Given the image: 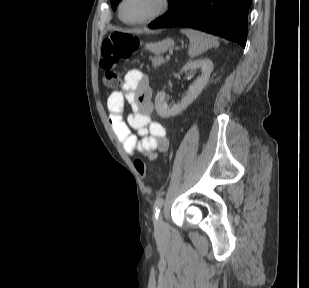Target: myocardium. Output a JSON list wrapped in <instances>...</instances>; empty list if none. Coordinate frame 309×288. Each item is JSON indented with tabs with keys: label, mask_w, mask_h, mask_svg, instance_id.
Masks as SVG:
<instances>
[{
	"label": "myocardium",
	"mask_w": 309,
	"mask_h": 288,
	"mask_svg": "<svg viewBox=\"0 0 309 288\" xmlns=\"http://www.w3.org/2000/svg\"><path fill=\"white\" fill-rule=\"evenodd\" d=\"M126 1L127 0H121L119 8H118V15L123 23L130 25V26L145 25V24L151 23L159 19L160 17L164 16L170 10L171 2H172L171 0H158V7L152 14H150L149 16L141 20L128 21L123 16V8H124Z\"/></svg>",
	"instance_id": "f54148a6"
}]
</instances>
